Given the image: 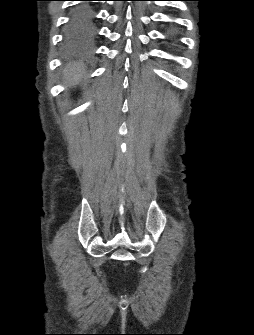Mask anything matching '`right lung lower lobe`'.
I'll list each match as a JSON object with an SVG mask.
<instances>
[{
	"mask_svg": "<svg viewBox=\"0 0 254 335\" xmlns=\"http://www.w3.org/2000/svg\"><path fill=\"white\" fill-rule=\"evenodd\" d=\"M76 9L77 10L75 12H72L70 24H77L83 21L85 26H92L94 20L93 9L89 6H85L84 4L79 5Z\"/></svg>",
	"mask_w": 254,
	"mask_h": 335,
	"instance_id": "obj_1",
	"label": "right lung lower lobe"
}]
</instances>
